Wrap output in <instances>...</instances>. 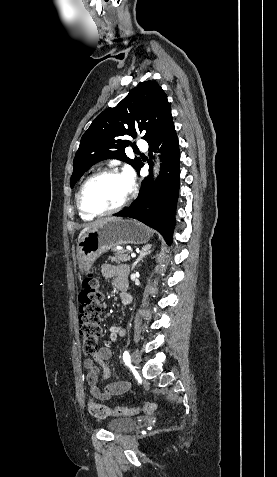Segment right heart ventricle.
<instances>
[{
	"instance_id": "e07e8e85",
	"label": "right heart ventricle",
	"mask_w": 277,
	"mask_h": 477,
	"mask_svg": "<svg viewBox=\"0 0 277 477\" xmlns=\"http://www.w3.org/2000/svg\"><path fill=\"white\" fill-rule=\"evenodd\" d=\"M80 215L84 220H92L94 218L93 216L85 215L81 212H80Z\"/></svg>"
}]
</instances>
